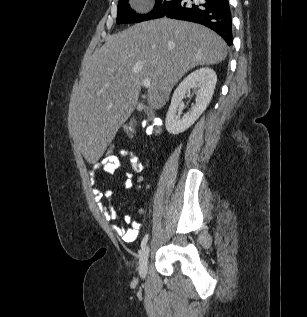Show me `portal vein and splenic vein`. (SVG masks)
<instances>
[{
  "instance_id": "1",
  "label": "portal vein and splenic vein",
  "mask_w": 307,
  "mask_h": 317,
  "mask_svg": "<svg viewBox=\"0 0 307 317\" xmlns=\"http://www.w3.org/2000/svg\"><path fill=\"white\" fill-rule=\"evenodd\" d=\"M143 86H144L145 88H149V87L151 86L150 80L145 79V80L143 81Z\"/></svg>"
}]
</instances>
